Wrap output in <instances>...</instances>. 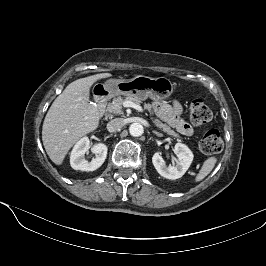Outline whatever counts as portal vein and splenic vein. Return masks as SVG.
Returning a JSON list of instances; mask_svg holds the SVG:
<instances>
[{"label":"portal vein and splenic vein","instance_id":"portal-vein-and-splenic-vein-1","mask_svg":"<svg viewBox=\"0 0 266 266\" xmlns=\"http://www.w3.org/2000/svg\"><path fill=\"white\" fill-rule=\"evenodd\" d=\"M123 106L124 107H131V108H134V109H136V110H138L140 112H143V108L140 105L135 104L132 101H124Z\"/></svg>","mask_w":266,"mask_h":266}]
</instances>
